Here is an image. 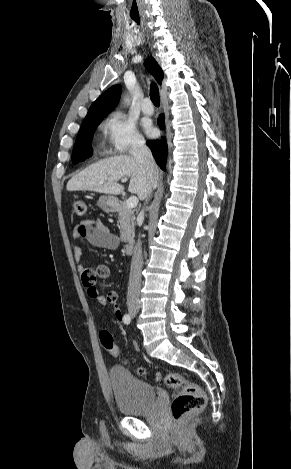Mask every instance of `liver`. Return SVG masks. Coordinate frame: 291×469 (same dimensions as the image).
Listing matches in <instances>:
<instances>
[{"mask_svg": "<svg viewBox=\"0 0 291 469\" xmlns=\"http://www.w3.org/2000/svg\"><path fill=\"white\" fill-rule=\"evenodd\" d=\"M130 178L128 191L146 199L157 186L159 172L155 167L148 173L146 167L129 155H119L98 161L73 176L67 183L68 191H95L119 195L124 186L117 181Z\"/></svg>", "mask_w": 291, "mask_h": 469, "instance_id": "1", "label": "liver"}]
</instances>
